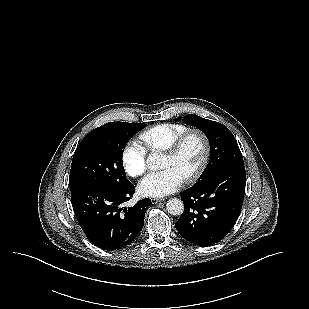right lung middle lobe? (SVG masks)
Masks as SVG:
<instances>
[{
  "mask_svg": "<svg viewBox=\"0 0 309 309\" xmlns=\"http://www.w3.org/2000/svg\"><path fill=\"white\" fill-rule=\"evenodd\" d=\"M145 127L143 123L110 122L92 130L74 153L70 189L93 185L114 189L128 186L123 151L129 139Z\"/></svg>",
  "mask_w": 309,
  "mask_h": 309,
  "instance_id": "1",
  "label": "right lung middle lobe"
}]
</instances>
